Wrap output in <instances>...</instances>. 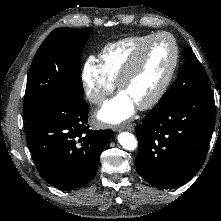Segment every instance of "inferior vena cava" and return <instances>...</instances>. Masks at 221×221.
Instances as JSON below:
<instances>
[{"label":"inferior vena cava","instance_id":"inferior-vena-cava-1","mask_svg":"<svg viewBox=\"0 0 221 221\" xmlns=\"http://www.w3.org/2000/svg\"><path fill=\"white\" fill-rule=\"evenodd\" d=\"M90 100L93 102V103H98V104H101L104 100V97L99 95V94H94L90 97Z\"/></svg>","mask_w":221,"mask_h":221}]
</instances>
